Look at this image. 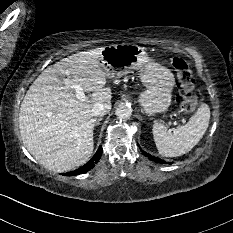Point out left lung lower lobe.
I'll return each mask as SVG.
<instances>
[{"mask_svg": "<svg viewBox=\"0 0 233 233\" xmlns=\"http://www.w3.org/2000/svg\"><path fill=\"white\" fill-rule=\"evenodd\" d=\"M140 148V147H139ZM144 153V155L146 156V157H148L150 160H152V161H155V162H157V163H160V164H167V162L166 161H164V160H162V159H159V158H157V157H155V156H152V155H150V154H148V153H146V152H143Z\"/></svg>", "mask_w": 233, "mask_h": 233, "instance_id": "1", "label": "left lung lower lobe"}]
</instances>
